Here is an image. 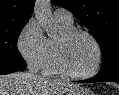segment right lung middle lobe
Wrapping results in <instances>:
<instances>
[{
  "instance_id": "1",
  "label": "right lung middle lobe",
  "mask_w": 119,
  "mask_h": 95,
  "mask_svg": "<svg viewBox=\"0 0 119 95\" xmlns=\"http://www.w3.org/2000/svg\"><path fill=\"white\" fill-rule=\"evenodd\" d=\"M27 22L0 27V64L26 66L18 51L17 40Z\"/></svg>"
}]
</instances>
